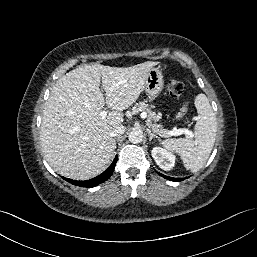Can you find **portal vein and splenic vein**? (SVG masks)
<instances>
[{
  "label": "portal vein and splenic vein",
  "mask_w": 257,
  "mask_h": 257,
  "mask_svg": "<svg viewBox=\"0 0 257 257\" xmlns=\"http://www.w3.org/2000/svg\"><path fill=\"white\" fill-rule=\"evenodd\" d=\"M106 116H107V111L106 110H102L100 112V117L102 119H104ZM141 118H146V113L145 112L141 113ZM181 134H190V132L187 129H176V128H174L171 131H168V135L169 136H177V135H181Z\"/></svg>",
  "instance_id": "obj_1"
}]
</instances>
